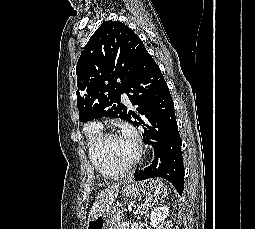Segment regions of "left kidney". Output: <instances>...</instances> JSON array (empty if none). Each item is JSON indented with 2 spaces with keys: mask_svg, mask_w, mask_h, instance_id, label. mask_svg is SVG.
<instances>
[{
  "mask_svg": "<svg viewBox=\"0 0 255 229\" xmlns=\"http://www.w3.org/2000/svg\"><path fill=\"white\" fill-rule=\"evenodd\" d=\"M169 216V207L168 206H160L154 208L150 215V224L152 227H156L160 229L162 227L164 220ZM161 224V226H159Z\"/></svg>",
  "mask_w": 255,
  "mask_h": 229,
  "instance_id": "left-kidney-1",
  "label": "left kidney"
}]
</instances>
